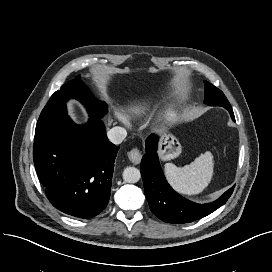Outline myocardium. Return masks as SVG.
I'll return each mask as SVG.
<instances>
[{"mask_svg": "<svg viewBox=\"0 0 272 272\" xmlns=\"http://www.w3.org/2000/svg\"><path fill=\"white\" fill-rule=\"evenodd\" d=\"M167 118H168V119H173V118H174V113H172V112H171V113H168V114H167Z\"/></svg>", "mask_w": 272, "mask_h": 272, "instance_id": "f54148a6", "label": "myocardium"}]
</instances>
